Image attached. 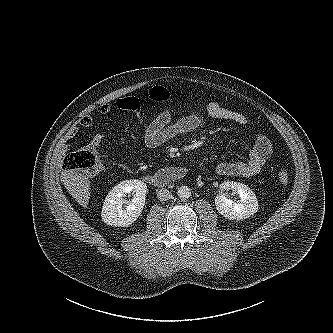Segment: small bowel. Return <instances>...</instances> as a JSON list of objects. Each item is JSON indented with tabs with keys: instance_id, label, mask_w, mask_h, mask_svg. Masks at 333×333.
I'll use <instances>...</instances> for the list:
<instances>
[{
	"instance_id": "1",
	"label": "small bowel",
	"mask_w": 333,
	"mask_h": 333,
	"mask_svg": "<svg viewBox=\"0 0 333 333\" xmlns=\"http://www.w3.org/2000/svg\"><path fill=\"white\" fill-rule=\"evenodd\" d=\"M116 107L130 111L140 117L141 104L136 97H123L116 101ZM111 105L102 104L97 108L101 115H107L111 111ZM206 113L216 119L234 122L239 125H247L249 118L236 110L226 108L218 102H210L206 106ZM204 117L197 107L190 108L187 113L176 121L172 120V114L168 109L162 110L146 127L142 139L135 134L131 137L135 144H141L144 148L151 150L157 148L177 136L189 133L202 125ZM93 124V118L89 115L84 116L80 125L89 128ZM79 133V127H71L64 136V143L74 139ZM103 140L101 134L93 137V144L99 145ZM273 146L270 139L263 133L255 137V142L249 152L247 160L221 162L216 167V172L222 176H253L260 172L265 162L271 157Z\"/></svg>"
}]
</instances>
